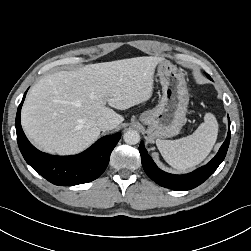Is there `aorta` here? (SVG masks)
I'll list each match as a JSON object with an SVG mask.
<instances>
[{
    "label": "aorta",
    "instance_id": "1",
    "mask_svg": "<svg viewBox=\"0 0 251 251\" xmlns=\"http://www.w3.org/2000/svg\"><path fill=\"white\" fill-rule=\"evenodd\" d=\"M123 139L127 144L135 145L140 141V134L136 130H128L124 133Z\"/></svg>",
    "mask_w": 251,
    "mask_h": 251
}]
</instances>
